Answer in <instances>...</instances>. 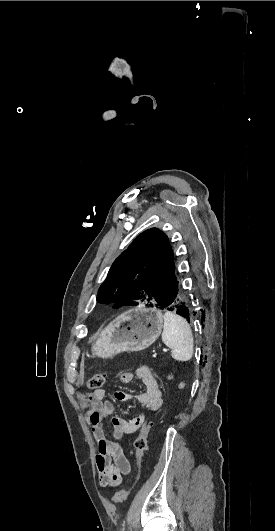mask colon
Returning a JSON list of instances; mask_svg holds the SVG:
<instances>
[{"mask_svg": "<svg viewBox=\"0 0 275 531\" xmlns=\"http://www.w3.org/2000/svg\"><path fill=\"white\" fill-rule=\"evenodd\" d=\"M106 379V373L105 372H98L94 374L88 383V389L90 391H96L103 388L104 383ZM156 420L153 417L148 418V420L144 423V426L139 432V436L136 439L135 446H136V466H137V474L134 476V481L132 484L128 485L124 489H121L120 491L116 492L113 497L112 501L115 504H121L125 502L131 490L134 487L135 481L139 479L140 473L143 467V460H144V451L146 450L147 442L146 438L149 437V435L152 432L153 425H155Z\"/></svg>", "mask_w": 275, "mask_h": 531, "instance_id": "colon-1", "label": "colon"}]
</instances>
